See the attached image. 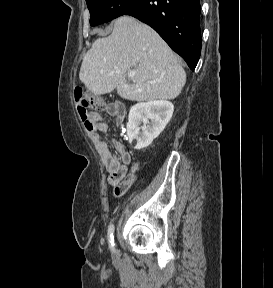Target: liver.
I'll list each match as a JSON object with an SVG mask.
<instances>
[{
  "label": "liver",
  "mask_w": 273,
  "mask_h": 288,
  "mask_svg": "<svg viewBox=\"0 0 273 288\" xmlns=\"http://www.w3.org/2000/svg\"><path fill=\"white\" fill-rule=\"evenodd\" d=\"M134 71L131 83L127 72ZM79 79L95 95L117 89L131 101L172 100L186 73L166 42L148 25L123 16L110 36L98 38L83 58Z\"/></svg>",
  "instance_id": "obj_1"
}]
</instances>
